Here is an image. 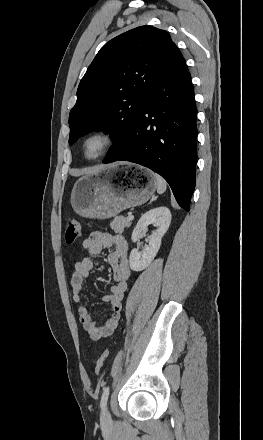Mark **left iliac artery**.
<instances>
[{"instance_id":"left-iliac-artery-1","label":"left iliac artery","mask_w":263,"mask_h":440,"mask_svg":"<svg viewBox=\"0 0 263 440\" xmlns=\"http://www.w3.org/2000/svg\"><path fill=\"white\" fill-rule=\"evenodd\" d=\"M109 386L105 387L101 396V408L103 409L106 406L107 399L109 396Z\"/></svg>"}]
</instances>
